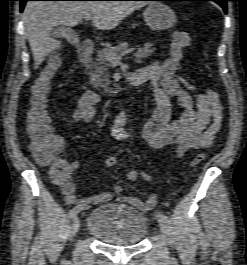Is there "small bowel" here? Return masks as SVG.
Instances as JSON below:
<instances>
[{
	"mask_svg": "<svg viewBox=\"0 0 247 265\" xmlns=\"http://www.w3.org/2000/svg\"><path fill=\"white\" fill-rule=\"evenodd\" d=\"M176 67L170 59L163 62H154L136 72L143 83L151 82L154 91L156 107L143 129L144 139L155 148L171 146L175 148L179 158L185 157L191 150L209 148L214 143L218 128L222 121V104L219 95L211 89L190 93L181 87L175 76ZM176 99L183 109L178 119L171 120V99ZM99 96L92 91H84L78 98L72 117L75 122L88 124L95 116V106L99 103ZM212 121V122H210ZM111 135L116 140H125L129 137L128 129L116 123L111 128ZM69 164V174L63 179H54L60 187L64 201L74 207L81 204L100 205L116 200L125 205L148 211L155 207L156 196L150 194L146 200L133 196L122 195L120 185L112 191L82 197L76 193L77 185L72 179V173L79 163ZM127 177L130 181L141 178L146 183L152 182V177L146 172L132 169Z\"/></svg>",
	"mask_w": 247,
	"mask_h": 265,
	"instance_id": "1",
	"label": "small bowel"
}]
</instances>
